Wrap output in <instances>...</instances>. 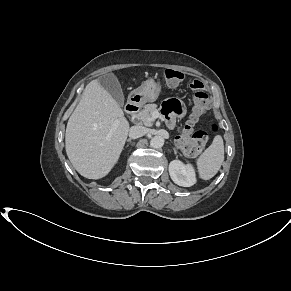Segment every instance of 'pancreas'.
<instances>
[{
  "label": "pancreas",
  "mask_w": 291,
  "mask_h": 291,
  "mask_svg": "<svg viewBox=\"0 0 291 291\" xmlns=\"http://www.w3.org/2000/svg\"><path fill=\"white\" fill-rule=\"evenodd\" d=\"M154 111H158L157 110V105L156 104H147L144 106V109L141 110L138 114H137V118L143 122V124H145L146 126H151L152 125V121L150 120L151 115Z\"/></svg>",
  "instance_id": "cf45deb5"
}]
</instances>
